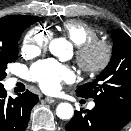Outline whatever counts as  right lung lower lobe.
<instances>
[{
    "instance_id": "obj_1",
    "label": "right lung lower lobe",
    "mask_w": 131,
    "mask_h": 131,
    "mask_svg": "<svg viewBox=\"0 0 131 131\" xmlns=\"http://www.w3.org/2000/svg\"><path fill=\"white\" fill-rule=\"evenodd\" d=\"M37 95L26 91L13 99L7 96L4 87L0 88V131H24L30 112L38 102Z\"/></svg>"
}]
</instances>
